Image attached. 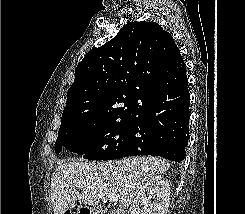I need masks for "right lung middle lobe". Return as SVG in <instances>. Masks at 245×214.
Returning <instances> with one entry per match:
<instances>
[{
	"label": "right lung middle lobe",
	"instance_id": "1",
	"mask_svg": "<svg viewBox=\"0 0 245 214\" xmlns=\"http://www.w3.org/2000/svg\"><path fill=\"white\" fill-rule=\"evenodd\" d=\"M135 111L98 119L85 114L62 115L55 152L62 146L84 154L88 160H111L127 143V134Z\"/></svg>",
	"mask_w": 245,
	"mask_h": 214
}]
</instances>
